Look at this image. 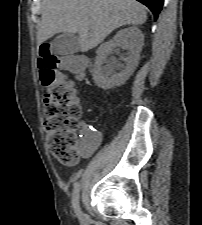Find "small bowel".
Wrapping results in <instances>:
<instances>
[{
    "mask_svg": "<svg viewBox=\"0 0 202 225\" xmlns=\"http://www.w3.org/2000/svg\"><path fill=\"white\" fill-rule=\"evenodd\" d=\"M85 64H87L86 61ZM81 128L83 134L79 142L78 152L81 157L88 158L104 144V138L100 132L92 130V125L88 121H82Z\"/></svg>",
    "mask_w": 202,
    "mask_h": 225,
    "instance_id": "obj_1",
    "label": "small bowel"
}]
</instances>
